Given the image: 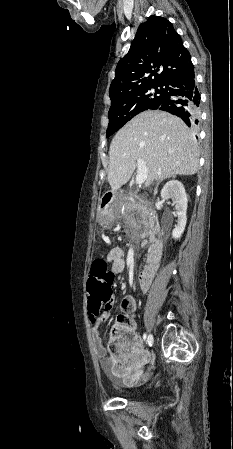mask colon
Segmentation results:
<instances>
[{
    "label": "colon",
    "instance_id": "5ec220e1",
    "mask_svg": "<svg viewBox=\"0 0 233 449\" xmlns=\"http://www.w3.org/2000/svg\"><path fill=\"white\" fill-rule=\"evenodd\" d=\"M88 304L90 317H95L105 311L104 305L110 302L111 297V279L109 277L108 267L105 261L96 260L92 263L87 278ZM124 308H131L130 299H124L122 302ZM135 322L132 316L122 315L117 318L116 325L111 334V346L115 350H125L135 344L131 337Z\"/></svg>",
    "mask_w": 233,
    "mask_h": 449
}]
</instances>
